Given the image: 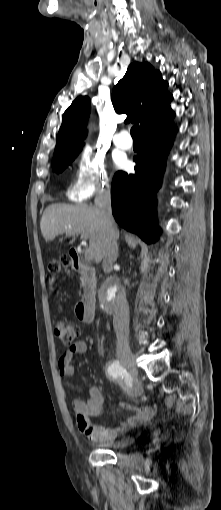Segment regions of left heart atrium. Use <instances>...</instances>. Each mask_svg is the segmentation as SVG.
Segmentation results:
<instances>
[{
    "mask_svg": "<svg viewBox=\"0 0 221 510\" xmlns=\"http://www.w3.org/2000/svg\"><path fill=\"white\" fill-rule=\"evenodd\" d=\"M116 161H117L118 165H121L123 162L122 159H120V158H118Z\"/></svg>",
    "mask_w": 221,
    "mask_h": 510,
    "instance_id": "left-heart-atrium-1",
    "label": "left heart atrium"
}]
</instances>
